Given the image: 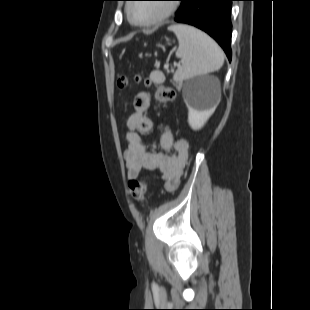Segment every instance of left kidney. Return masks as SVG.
I'll return each mask as SVG.
<instances>
[{
	"instance_id": "left-kidney-1",
	"label": "left kidney",
	"mask_w": 310,
	"mask_h": 310,
	"mask_svg": "<svg viewBox=\"0 0 310 310\" xmlns=\"http://www.w3.org/2000/svg\"><path fill=\"white\" fill-rule=\"evenodd\" d=\"M187 107H188V122L192 127V129L194 130L202 128L213 113V109L203 110L195 107L194 105L188 102Z\"/></svg>"
}]
</instances>
